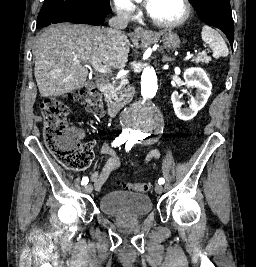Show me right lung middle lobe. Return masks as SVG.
Returning <instances> with one entry per match:
<instances>
[{
    "instance_id": "right-lung-middle-lobe-1",
    "label": "right lung middle lobe",
    "mask_w": 256,
    "mask_h": 267,
    "mask_svg": "<svg viewBox=\"0 0 256 267\" xmlns=\"http://www.w3.org/2000/svg\"><path fill=\"white\" fill-rule=\"evenodd\" d=\"M84 12L106 16L111 12L109 0H45L37 22L57 14L66 16Z\"/></svg>"
}]
</instances>
